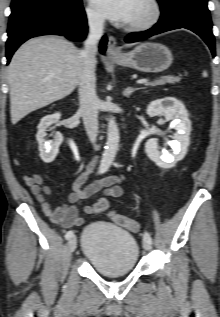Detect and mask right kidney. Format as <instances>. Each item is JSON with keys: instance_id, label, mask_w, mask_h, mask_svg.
<instances>
[{"instance_id": "right-kidney-1", "label": "right kidney", "mask_w": 220, "mask_h": 317, "mask_svg": "<svg viewBox=\"0 0 220 317\" xmlns=\"http://www.w3.org/2000/svg\"><path fill=\"white\" fill-rule=\"evenodd\" d=\"M60 117V113L44 116L38 125L36 139L39 144V156L45 163H51L52 161H54L59 152V146L63 142V135L60 132H56L53 135V140H45L47 129L51 125L56 124L59 121Z\"/></svg>"}]
</instances>
